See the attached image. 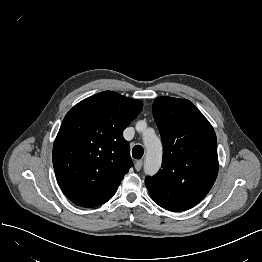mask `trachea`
<instances>
[{"mask_svg":"<svg viewBox=\"0 0 262 262\" xmlns=\"http://www.w3.org/2000/svg\"><path fill=\"white\" fill-rule=\"evenodd\" d=\"M144 154V149L141 145H135L132 149V156L135 159H140Z\"/></svg>","mask_w":262,"mask_h":262,"instance_id":"1","label":"trachea"}]
</instances>
